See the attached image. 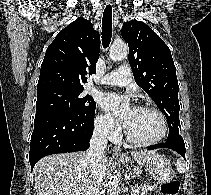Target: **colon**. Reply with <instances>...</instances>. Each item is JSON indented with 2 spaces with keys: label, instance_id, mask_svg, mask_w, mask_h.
<instances>
[{
  "label": "colon",
  "instance_id": "colon-1",
  "mask_svg": "<svg viewBox=\"0 0 211 195\" xmlns=\"http://www.w3.org/2000/svg\"><path fill=\"white\" fill-rule=\"evenodd\" d=\"M180 189L179 181H170L161 186L164 195H176Z\"/></svg>",
  "mask_w": 211,
  "mask_h": 195
}]
</instances>
